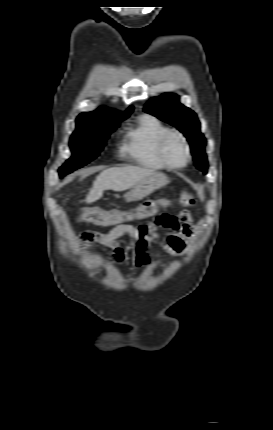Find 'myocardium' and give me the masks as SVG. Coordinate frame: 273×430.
Instances as JSON below:
<instances>
[{"mask_svg": "<svg viewBox=\"0 0 273 430\" xmlns=\"http://www.w3.org/2000/svg\"><path fill=\"white\" fill-rule=\"evenodd\" d=\"M172 136H177L178 138H180L184 144V148H185V159L182 163L180 164H174L172 163L166 156L165 154V146L166 143L168 141V139ZM158 155L160 157V159L162 160V162L169 168L172 169H180L185 167L191 160V148L189 145V142L186 138V136L181 133L180 131L177 130H169L168 132H166L165 134L162 135V137L159 140L158 143Z\"/></svg>", "mask_w": 273, "mask_h": 430, "instance_id": "myocardium-1", "label": "myocardium"}]
</instances>
